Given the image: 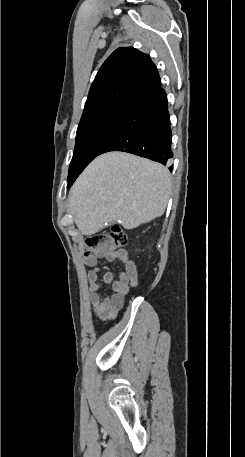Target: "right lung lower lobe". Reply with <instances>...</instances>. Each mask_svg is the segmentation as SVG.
Returning a JSON list of instances; mask_svg holds the SVG:
<instances>
[{"label": "right lung lower lobe", "mask_w": 245, "mask_h": 457, "mask_svg": "<svg viewBox=\"0 0 245 457\" xmlns=\"http://www.w3.org/2000/svg\"><path fill=\"white\" fill-rule=\"evenodd\" d=\"M170 116L166 93L161 87L138 100L99 155L123 151L166 165L173 157ZM173 166L169 169L172 170Z\"/></svg>", "instance_id": "right-lung-lower-lobe-1"}]
</instances>
